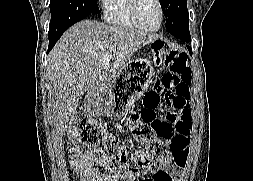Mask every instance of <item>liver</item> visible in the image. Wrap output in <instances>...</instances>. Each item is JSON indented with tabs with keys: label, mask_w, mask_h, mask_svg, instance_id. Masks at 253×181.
I'll return each instance as SVG.
<instances>
[{
	"label": "liver",
	"mask_w": 253,
	"mask_h": 181,
	"mask_svg": "<svg viewBox=\"0 0 253 181\" xmlns=\"http://www.w3.org/2000/svg\"><path fill=\"white\" fill-rule=\"evenodd\" d=\"M157 38L153 33L94 20L70 27L47 57L48 77L55 91L57 133H65L86 92L105 87L135 51Z\"/></svg>",
	"instance_id": "obj_1"
}]
</instances>
